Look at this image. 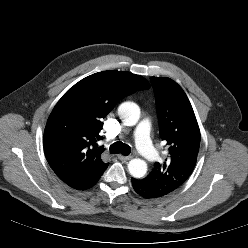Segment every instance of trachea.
<instances>
[{
  "mask_svg": "<svg viewBox=\"0 0 248 248\" xmlns=\"http://www.w3.org/2000/svg\"><path fill=\"white\" fill-rule=\"evenodd\" d=\"M110 152L112 154H119L121 153L124 156H128L131 153V147L127 144H124L120 141L113 143L110 146Z\"/></svg>",
  "mask_w": 248,
  "mask_h": 248,
  "instance_id": "1",
  "label": "trachea"
}]
</instances>
